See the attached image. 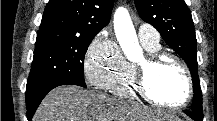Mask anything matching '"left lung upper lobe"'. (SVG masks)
I'll return each instance as SVG.
<instances>
[{
  "instance_id": "5c2ea615",
  "label": "left lung upper lobe",
  "mask_w": 217,
  "mask_h": 121,
  "mask_svg": "<svg viewBox=\"0 0 217 121\" xmlns=\"http://www.w3.org/2000/svg\"><path fill=\"white\" fill-rule=\"evenodd\" d=\"M140 17L154 26L164 41L186 62L192 75L194 98L190 113L203 121L202 92L197 69L196 35L184 0H134Z\"/></svg>"
}]
</instances>
